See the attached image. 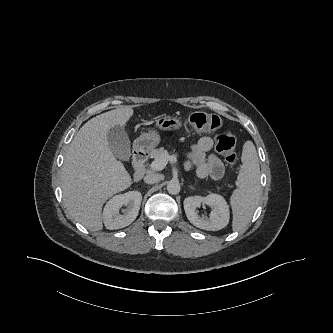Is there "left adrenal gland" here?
I'll use <instances>...</instances> for the list:
<instances>
[{"label": "left adrenal gland", "instance_id": "left-adrenal-gland-1", "mask_svg": "<svg viewBox=\"0 0 333 333\" xmlns=\"http://www.w3.org/2000/svg\"><path fill=\"white\" fill-rule=\"evenodd\" d=\"M189 188H191V189H193V190H194V188H193L192 186H189Z\"/></svg>", "mask_w": 333, "mask_h": 333}]
</instances>
